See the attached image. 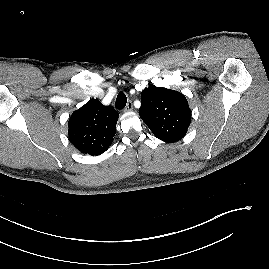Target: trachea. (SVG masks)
I'll use <instances>...</instances> for the list:
<instances>
[{"mask_svg":"<svg viewBox=\"0 0 269 269\" xmlns=\"http://www.w3.org/2000/svg\"><path fill=\"white\" fill-rule=\"evenodd\" d=\"M127 103V97L123 92H119L116 98V108L121 110L124 109Z\"/></svg>","mask_w":269,"mask_h":269,"instance_id":"obj_1","label":"trachea"}]
</instances>
